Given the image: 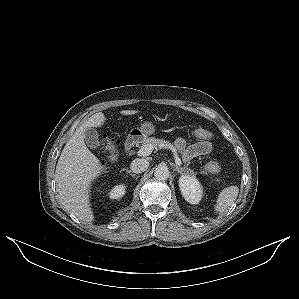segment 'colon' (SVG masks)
<instances>
[{
    "instance_id": "1",
    "label": "colon",
    "mask_w": 299,
    "mask_h": 299,
    "mask_svg": "<svg viewBox=\"0 0 299 299\" xmlns=\"http://www.w3.org/2000/svg\"><path fill=\"white\" fill-rule=\"evenodd\" d=\"M189 136L191 138H195L199 140H211L213 134L209 130L203 128H195L189 132ZM100 145L103 149H106L110 153L115 154L117 148V142L115 140L108 137H104L101 140ZM103 166L104 167L106 166L105 163H103ZM208 169L211 171H219L220 166L216 162H210L208 164Z\"/></svg>"
}]
</instances>
